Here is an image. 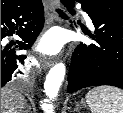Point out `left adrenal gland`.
I'll list each match as a JSON object with an SVG mask.
<instances>
[{
	"instance_id": "obj_1",
	"label": "left adrenal gland",
	"mask_w": 123,
	"mask_h": 113,
	"mask_svg": "<svg viewBox=\"0 0 123 113\" xmlns=\"http://www.w3.org/2000/svg\"><path fill=\"white\" fill-rule=\"evenodd\" d=\"M81 104H83V107H85V102L82 101ZM77 108H78V107H77ZM77 108H76V109H77Z\"/></svg>"
}]
</instances>
